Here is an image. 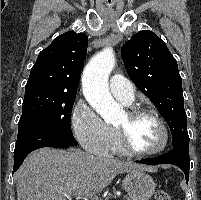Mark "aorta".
Segmentation results:
<instances>
[{
  "mask_svg": "<svg viewBox=\"0 0 201 200\" xmlns=\"http://www.w3.org/2000/svg\"><path fill=\"white\" fill-rule=\"evenodd\" d=\"M115 66V54L106 47L89 61L82 75L83 93L88 103L106 123L115 122L120 116V106L109 92L108 78Z\"/></svg>",
  "mask_w": 201,
  "mask_h": 200,
  "instance_id": "obj_1",
  "label": "aorta"
}]
</instances>
